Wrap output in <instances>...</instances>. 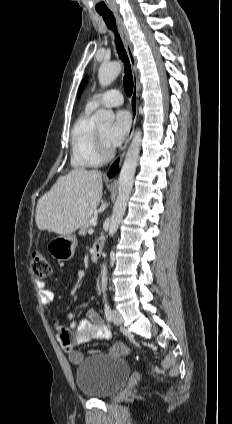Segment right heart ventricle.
<instances>
[{"mask_svg": "<svg viewBox=\"0 0 232 424\" xmlns=\"http://www.w3.org/2000/svg\"><path fill=\"white\" fill-rule=\"evenodd\" d=\"M93 111L86 107L72 129L71 165L75 169L94 168L104 163L97 151Z\"/></svg>", "mask_w": 232, "mask_h": 424, "instance_id": "1", "label": "right heart ventricle"}]
</instances>
